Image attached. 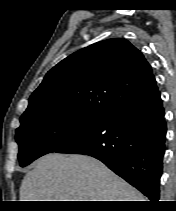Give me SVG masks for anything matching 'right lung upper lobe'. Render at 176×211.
<instances>
[{"mask_svg": "<svg viewBox=\"0 0 176 211\" xmlns=\"http://www.w3.org/2000/svg\"><path fill=\"white\" fill-rule=\"evenodd\" d=\"M158 92L151 66L123 38L97 42L68 56L44 77L21 116L48 108L108 115Z\"/></svg>", "mask_w": 176, "mask_h": 211, "instance_id": "1", "label": "right lung upper lobe"}]
</instances>
